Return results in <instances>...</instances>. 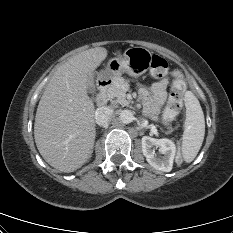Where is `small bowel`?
<instances>
[{
    "label": "small bowel",
    "mask_w": 233,
    "mask_h": 233,
    "mask_svg": "<svg viewBox=\"0 0 233 233\" xmlns=\"http://www.w3.org/2000/svg\"><path fill=\"white\" fill-rule=\"evenodd\" d=\"M175 78H181L180 72H174ZM169 87V80L162 79L152 86V94L146 99L145 110L150 116H156L160 108L164 105L167 98V89Z\"/></svg>",
    "instance_id": "small-bowel-1"
}]
</instances>
